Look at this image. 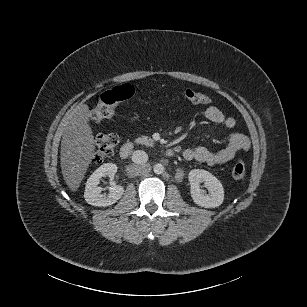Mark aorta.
Instances as JSON below:
<instances>
[{
    "label": "aorta",
    "instance_id": "1",
    "mask_svg": "<svg viewBox=\"0 0 307 307\" xmlns=\"http://www.w3.org/2000/svg\"><path fill=\"white\" fill-rule=\"evenodd\" d=\"M154 173L157 175H161L164 173V166L162 164H156L153 167Z\"/></svg>",
    "mask_w": 307,
    "mask_h": 307
}]
</instances>
